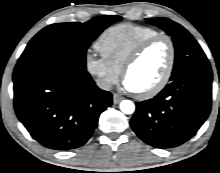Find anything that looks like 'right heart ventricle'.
I'll list each match as a JSON object with an SVG mask.
<instances>
[{
    "label": "right heart ventricle",
    "instance_id": "obj_1",
    "mask_svg": "<svg viewBox=\"0 0 220 173\" xmlns=\"http://www.w3.org/2000/svg\"><path fill=\"white\" fill-rule=\"evenodd\" d=\"M157 34L159 31L149 26L122 23L104 31L96 42V48L103 58L122 71L126 60L135 48Z\"/></svg>",
    "mask_w": 220,
    "mask_h": 173
}]
</instances>
